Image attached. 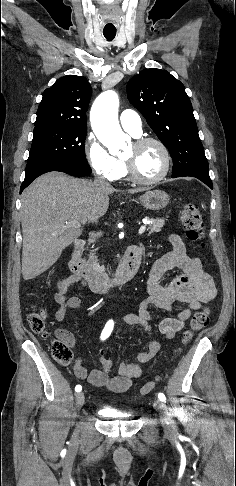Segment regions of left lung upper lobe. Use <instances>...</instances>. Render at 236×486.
<instances>
[{
  "label": "left lung upper lobe",
  "mask_w": 236,
  "mask_h": 486,
  "mask_svg": "<svg viewBox=\"0 0 236 486\" xmlns=\"http://www.w3.org/2000/svg\"><path fill=\"white\" fill-rule=\"evenodd\" d=\"M131 104L146 118L173 159L172 176L210 179L193 108L184 85L160 69H144L127 84Z\"/></svg>",
  "instance_id": "obj_1"
}]
</instances>
